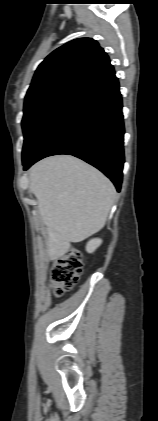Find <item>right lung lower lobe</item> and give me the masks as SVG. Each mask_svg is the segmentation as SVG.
Instances as JSON below:
<instances>
[{
	"label": "right lung lower lobe",
	"instance_id": "right-lung-lower-lobe-1",
	"mask_svg": "<svg viewBox=\"0 0 158 421\" xmlns=\"http://www.w3.org/2000/svg\"><path fill=\"white\" fill-rule=\"evenodd\" d=\"M122 100L113 66L100 71L65 101L43 129L29 157L76 156L102 171L120 191L124 164Z\"/></svg>",
	"mask_w": 158,
	"mask_h": 421
}]
</instances>
